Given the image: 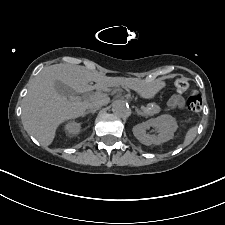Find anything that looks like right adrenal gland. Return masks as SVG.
<instances>
[{
    "mask_svg": "<svg viewBox=\"0 0 225 225\" xmlns=\"http://www.w3.org/2000/svg\"><path fill=\"white\" fill-rule=\"evenodd\" d=\"M96 111L97 110H88L87 112H85L84 116H86L89 113L94 114Z\"/></svg>",
    "mask_w": 225,
    "mask_h": 225,
    "instance_id": "2a0ac1e0",
    "label": "right adrenal gland"
}]
</instances>
